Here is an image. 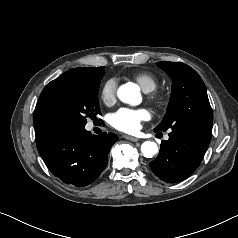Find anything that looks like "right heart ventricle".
Listing matches in <instances>:
<instances>
[{"label":"right heart ventricle","mask_w":238,"mask_h":238,"mask_svg":"<svg viewBox=\"0 0 238 238\" xmlns=\"http://www.w3.org/2000/svg\"><path fill=\"white\" fill-rule=\"evenodd\" d=\"M132 78L139 84L145 92H151L156 89L158 80L155 75L150 72L140 71L132 75Z\"/></svg>","instance_id":"obj_1"}]
</instances>
